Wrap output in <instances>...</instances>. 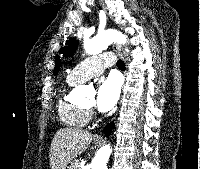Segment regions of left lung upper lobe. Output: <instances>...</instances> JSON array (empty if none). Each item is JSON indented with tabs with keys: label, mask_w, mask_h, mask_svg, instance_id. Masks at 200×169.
Wrapping results in <instances>:
<instances>
[{
	"label": "left lung upper lobe",
	"mask_w": 200,
	"mask_h": 169,
	"mask_svg": "<svg viewBox=\"0 0 200 169\" xmlns=\"http://www.w3.org/2000/svg\"><path fill=\"white\" fill-rule=\"evenodd\" d=\"M76 48H77V40L70 39V40L67 41L66 46H64L60 49L59 53L60 54L62 53L63 56H65V57H69V56L74 54ZM60 66H61L60 57H59V55H56V57H55V68H54L53 74H56L59 71Z\"/></svg>",
	"instance_id": "left-lung-upper-lobe-1"
}]
</instances>
